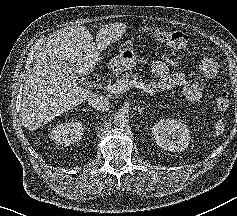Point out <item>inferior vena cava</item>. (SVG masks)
Instances as JSON below:
<instances>
[{
    "label": "inferior vena cava",
    "mask_w": 237,
    "mask_h": 216,
    "mask_svg": "<svg viewBox=\"0 0 237 216\" xmlns=\"http://www.w3.org/2000/svg\"><path fill=\"white\" fill-rule=\"evenodd\" d=\"M87 101L88 105L100 112H107L111 107L109 98L104 95L93 94Z\"/></svg>",
    "instance_id": "obj_1"
}]
</instances>
